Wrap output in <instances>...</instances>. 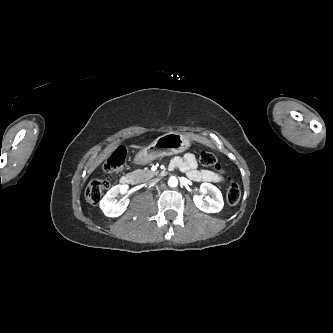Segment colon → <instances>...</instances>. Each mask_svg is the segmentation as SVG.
Here are the masks:
<instances>
[{
    "label": "colon",
    "mask_w": 333,
    "mask_h": 333,
    "mask_svg": "<svg viewBox=\"0 0 333 333\" xmlns=\"http://www.w3.org/2000/svg\"><path fill=\"white\" fill-rule=\"evenodd\" d=\"M126 149L122 146L116 148L108 157L104 165V171L108 175H114L120 172L125 165ZM200 162L203 166L212 169L216 174L223 175L225 170L217 160L216 156L208 151L200 153ZM228 185L226 187V201L229 205H236L241 196V191L237 183L232 178H227ZM109 181L106 179H97L92 181L86 188V200L91 204H97L106 190L109 188Z\"/></svg>",
    "instance_id": "1"
}]
</instances>
